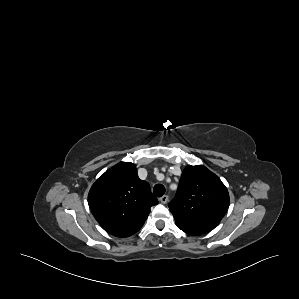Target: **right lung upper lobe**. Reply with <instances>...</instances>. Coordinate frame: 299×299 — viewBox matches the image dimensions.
Returning a JSON list of instances; mask_svg holds the SVG:
<instances>
[{
	"instance_id": "1",
	"label": "right lung upper lobe",
	"mask_w": 299,
	"mask_h": 299,
	"mask_svg": "<svg viewBox=\"0 0 299 299\" xmlns=\"http://www.w3.org/2000/svg\"><path fill=\"white\" fill-rule=\"evenodd\" d=\"M88 203L98 223L111 235L128 237L143 226L158 203L136 165L120 162L102 174L90 189Z\"/></svg>"
}]
</instances>
